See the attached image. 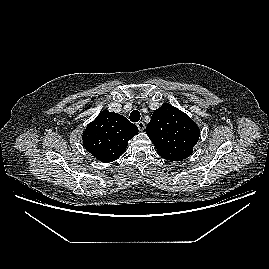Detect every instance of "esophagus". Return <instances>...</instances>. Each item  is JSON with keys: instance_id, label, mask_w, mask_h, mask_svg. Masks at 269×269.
I'll return each instance as SVG.
<instances>
[{"instance_id": "esophagus-1", "label": "esophagus", "mask_w": 269, "mask_h": 269, "mask_svg": "<svg viewBox=\"0 0 269 269\" xmlns=\"http://www.w3.org/2000/svg\"><path fill=\"white\" fill-rule=\"evenodd\" d=\"M136 125L140 131H143L145 129V123L143 121L137 122Z\"/></svg>"}]
</instances>
